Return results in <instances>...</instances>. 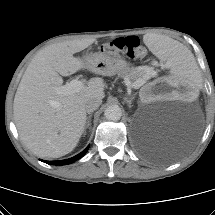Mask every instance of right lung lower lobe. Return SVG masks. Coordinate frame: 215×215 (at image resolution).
Masks as SVG:
<instances>
[{"instance_id":"1","label":"right lung lower lobe","mask_w":215,"mask_h":215,"mask_svg":"<svg viewBox=\"0 0 215 215\" xmlns=\"http://www.w3.org/2000/svg\"><path fill=\"white\" fill-rule=\"evenodd\" d=\"M88 149H89V146L84 151L79 153L78 155H76V156H74L72 158H69V159L59 160V161H44V162L47 163V164H50V165H67V164H71V163L75 162L76 160L80 159L81 157H83L86 154V152L88 151Z\"/></svg>"}]
</instances>
